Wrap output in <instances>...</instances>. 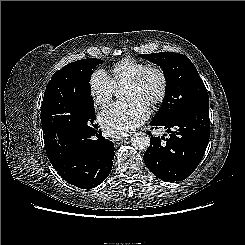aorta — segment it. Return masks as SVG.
<instances>
[{"instance_id": "aorta-1", "label": "aorta", "mask_w": 245, "mask_h": 245, "mask_svg": "<svg viewBox=\"0 0 245 245\" xmlns=\"http://www.w3.org/2000/svg\"><path fill=\"white\" fill-rule=\"evenodd\" d=\"M116 96L119 97L118 93ZM131 144L135 149L145 150L150 145V137L147 133L137 132L131 137Z\"/></svg>"}]
</instances>
